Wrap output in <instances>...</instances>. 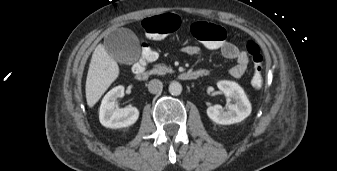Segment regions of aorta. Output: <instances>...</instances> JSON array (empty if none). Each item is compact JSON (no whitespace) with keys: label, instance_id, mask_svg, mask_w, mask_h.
<instances>
[{"label":"aorta","instance_id":"obj_1","mask_svg":"<svg viewBox=\"0 0 337 171\" xmlns=\"http://www.w3.org/2000/svg\"><path fill=\"white\" fill-rule=\"evenodd\" d=\"M169 92L174 96L180 95L182 92V85L177 81L171 82L169 85Z\"/></svg>","mask_w":337,"mask_h":171}]
</instances>
